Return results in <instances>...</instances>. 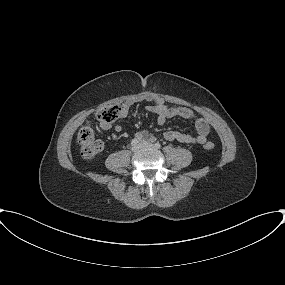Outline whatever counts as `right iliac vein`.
I'll use <instances>...</instances> for the list:
<instances>
[{
  "instance_id": "63e3f726",
  "label": "right iliac vein",
  "mask_w": 285,
  "mask_h": 285,
  "mask_svg": "<svg viewBox=\"0 0 285 285\" xmlns=\"http://www.w3.org/2000/svg\"><path fill=\"white\" fill-rule=\"evenodd\" d=\"M141 148V144H137L135 146L132 147V151L136 152Z\"/></svg>"
}]
</instances>
